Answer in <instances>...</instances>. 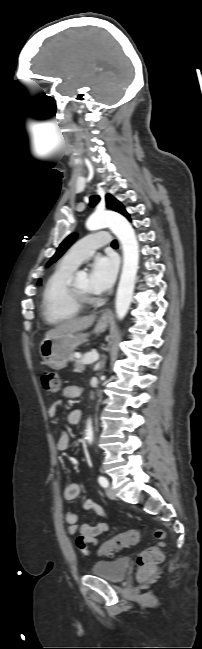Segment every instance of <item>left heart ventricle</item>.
<instances>
[{
	"instance_id": "b2bd125f",
	"label": "left heart ventricle",
	"mask_w": 202,
	"mask_h": 649,
	"mask_svg": "<svg viewBox=\"0 0 202 649\" xmlns=\"http://www.w3.org/2000/svg\"><path fill=\"white\" fill-rule=\"evenodd\" d=\"M75 283H76L77 287L81 291H83L85 293H90L91 292L88 277H86V276L78 277V278L75 279Z\"/></svg>"
}]
</instances>
